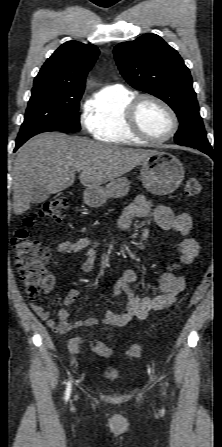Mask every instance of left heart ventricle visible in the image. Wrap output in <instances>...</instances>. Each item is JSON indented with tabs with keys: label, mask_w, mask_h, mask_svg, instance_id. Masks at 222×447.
Listing matches in <instances>:
<instances>
[{
	"label": "left heart ventricle",
	"mask_w": 222,
	"mask_h": 447,
	"mask_svg": "<svg viewBox=\"0 0 222 447\" xmlns=\"http://www.w3.org/2000/svg\"><path fill=\"white\" fill-rule=\"evenodd\" d=\"M138 120L142 129L154 138L166 136L172 126L168 113L151 101L142 103L138 112Z\"/></svg>",
	"instance_id": "b2bd125f"
}]
</instances>
